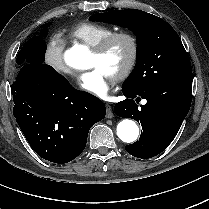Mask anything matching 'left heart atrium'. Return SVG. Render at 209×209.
I'll use <instances>...</instances> for the list:
<instances>
[{
	"instance_id": "39dd6f15",
	"label": "left heart atrium",
	"mask_w": 209,
	"mask_h": 209,
	"mask_svg": "<svg viewBox=\"0 0 209 209\" xmlns=\"http://www.w3.org/2000/svg\"><path fill=\"white\" fill-rule=\"evenodd\" d=\"M115 79L106 74L101 68L95 67L79 75V86L88 93L98 97L106 98Z\"/></svg>"
}]
</instances>
